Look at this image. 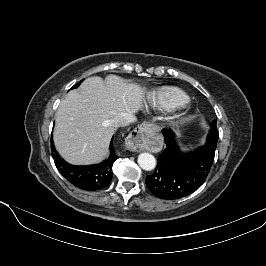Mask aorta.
<instances>
[{
  "instance_id": "aorta-1",
  "label": "aorta",
  "mask_w": 266,
  "mask_h": 266,
  "mask_svg": "<svg viewBox=\"0 0 266 266\" xmlns=\"http://www.w3.org/2000/svg\"><path fill=\"white\" fill-rule=\"evenodd\" d=\"M138 164L143 170L151 171L156 166V159L150 153H141L138 156Z\"/></svg>"
}]
</instances>
